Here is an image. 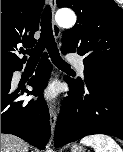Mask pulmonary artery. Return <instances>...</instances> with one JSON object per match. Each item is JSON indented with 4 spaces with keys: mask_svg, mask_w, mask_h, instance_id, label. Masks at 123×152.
<instances>
[{
    "mask_svg": "<svg viewBox=\"0 0 123 152\" xmlns=\"http://www.w3.org/2000/svg\"><path fill=\"white\" fill-rule=\"evenodd\" d=\"M68 61H70L71 63H73L76 67V69L78 70V72L83 75L84 74V64L83 61L80 57L76 56V55H70L67 57Z\"/></svg>",
    "mask_w": 123,
    "mask_h": 152,
    "instance_id": "pulmonary-artery-1",
    "label": "pulmonary artery"
}]
</instances>
